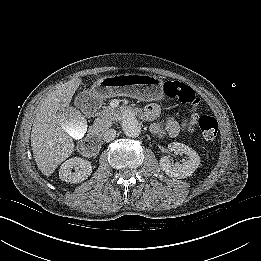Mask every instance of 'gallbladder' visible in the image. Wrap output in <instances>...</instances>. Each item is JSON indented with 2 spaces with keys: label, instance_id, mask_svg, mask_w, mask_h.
<instances>
[{
  "label": "gallbladder",
  "instance_id": "1",
  "mask_svg": "<svg viewBox=\"0 0 261 261\" xmlns=\"http://www.w3.org/2000/svg\"><path fill=\"white\" fill-rule=\"evenodd\" d=\"M58 122L62 130L74 140L81 139L88 129L86 119L74 107L64 108L58 115Z\"/></svg>",
  "mask_w": 261,
  "mask_h": 261
}]
</instances>
